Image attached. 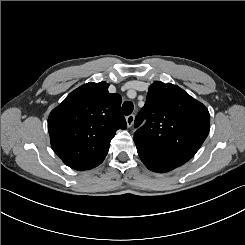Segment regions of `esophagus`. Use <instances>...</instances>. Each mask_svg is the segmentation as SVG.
<instances>
[{
  "label": "esophagus",
  "mask_w": 245,
  "mask_h": 245,
  "mask_svg": "<svg viewBox=\"0 0 245 245\" xmlns=\"http://www.w3.org/2000/svg\"><path fill=\"white\" fill-rule=\"evenodd\" d=\"M126 122H127L128 128H130L134 124V115L133 114L128 115L126 117Z\"/></svg>",
  "instance_id": "34e87169"
}]
</instances>
